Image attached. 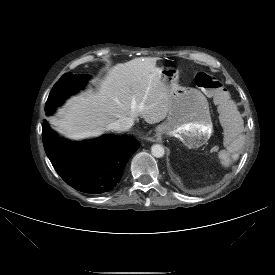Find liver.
<instances>
[{
	"instance_id": "1",
	"label": "liver",
	"mask_w": 275,
	"mask_h": 275,
	"mask_svg": "<svg viewBox=\"0 0 275 275\" xmlns=\"http://www.w3.org/2000/svg\"><path fill=\"white\" fill-rule=\"evenodd\" d=\"M169 91L155 59L135 58L115 65L98 91L71 98L51 122L75 141L100 136L121 117H142L149 124L158 123L168 114Z\"/></svg>"
}]
</instances>
